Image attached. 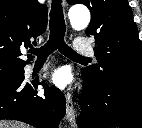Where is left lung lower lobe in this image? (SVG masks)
Instances as JSON below:
<instances>
[{"label": "left lung lower lobe", "mask_w": 142, "mask_h": 128, "mask_svg": "<svg viewBox=\"0 0 142 128\" xmlns=\"http://www.w3.org/2000/svg\"><path fill=\"white\" fill-rule=\"evenodd\" d=\"M79 128H142V84L132 81L99 82L82 70Z\"/></svg>", "instance_id": "0a47b994"}]
</instances>
